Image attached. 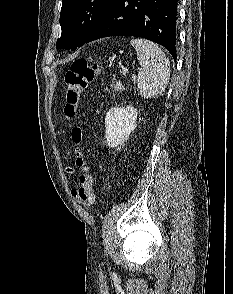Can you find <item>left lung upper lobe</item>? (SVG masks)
I'll list each match as a JSON object with an SVG mask.
<instances>
[{"label":"left lung upper lobe","instance_id":"left-lung-upper-lobe-1","mask_svg":"<svg viewBox=\"0 0 233 294\" xmlns=\"http://www.w3.org/2000/svg\"><path fill=\"white\" fill-rule=\"evenodd\" d=\"M112 0H62L60 25L62 34L58 49H72L84 45Z\"/></svg>","mask_w":233,"mask_h":294}]
</instances>
